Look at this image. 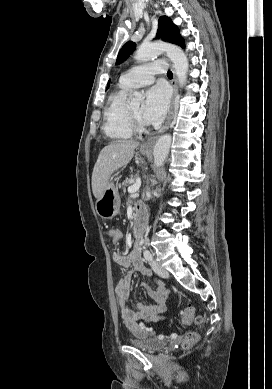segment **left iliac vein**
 <instances>
[{
  "label": "left iliac vein",
  "mask_w": 272,
  "mask_h": 389,
  "mask_svg": "<svg viewBox=\"0 0 272 389\" xmlns=\"http://www.w3.org/2000/svg\"><path fill=\"white\" fill-rule=\"evenodd\" d=\"M151 267L154 270V272L156 274H158L160 277H162V278L169 277L168 271L164 267H162L159 263H157L156 261L153 260L151 262Z\"/></svg>",
  "instance_id": "obj_1"
}]
</instances>
